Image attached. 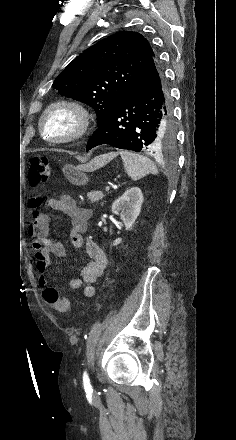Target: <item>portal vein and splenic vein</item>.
<instances>
[{"instance_id": "obj_1", "label": "portal vein and splenic vein", "mask_w": 236, "mask_h": 440, "mask_svg": "<svg viewBox=\"0 0 236 440\" xmlns=\"http://www.w3.org/2000/svg\"><path fill=\"white\" fill-rule=\"evenodd\" d=\"M109 190H110V187H109V186H107V187H106V191L108 192Z\"/></svg>"}]
</instances>
